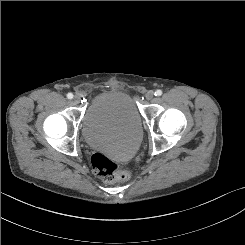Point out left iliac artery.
<instances>
[{"label": "left iliac artery", "mask_w": 245, "mask_h": 245, "mask_svg": "<svg viewBox=\"0 0 245 245\" xmlns=\"http://www.w3.org/2000/svg\"><path fill=\"white\" fill-rule=\"evenodd\" d=\"M155 96H161L162 95V91L160 89L155 91Z\"/></svg>", "instance_id": "obj_1"}]
</instances>
